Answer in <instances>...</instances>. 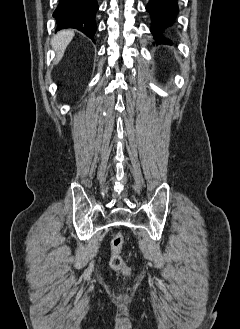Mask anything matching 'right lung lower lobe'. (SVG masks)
<instances>
[{
	"label": "right lung lower lobe",
	"instance_id": "right-lung-lower-lobe-1",
	"mask_svg": "<svg viewBox=\"0 0 240 329\" xmlns=\"http://www.w3.org/2000/svg\"><path fill=\"white\" fill-rule=\"evenodd\" d=\"M97 10V0H60L53 13L57 30L77 29L94 41Z\"/></svg>",
	"mask_w": 240,
	"mask_h": 329
}]
</instances>
